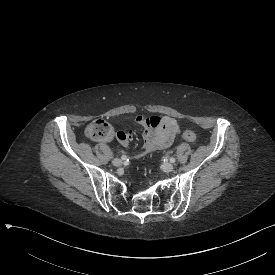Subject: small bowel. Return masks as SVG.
<instances>
[{"label": "small bowel", "instance_id": "1", "mask_svg": "<svg viewBox=\"0 0 275 275\" xmlns=\"http://www.w3.org/2000/svg\"><path fill=\"white\" fill-rule=\"evenodd\" d=\"M135 122L143 127V145L139 152L133 154L134 158H140L151 152L169 147L180 132V126L174 118L137 115ZM115 137L126 147L132 138V132H128L126 136L124 130H119Z\"/></svg>", "mask_w": 275, "mask_h": 275}]
</instances>
